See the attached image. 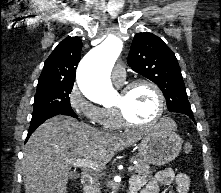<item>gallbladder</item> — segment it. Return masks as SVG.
<instances>
[{"instance_id":"1","label":"gallbladder","mask_w":221,"mask_h":193,"mask_svg":"<svg viewBox=\"0 0 221 193\" xmlns=\"http://www.w3.org/2000/svg\"><path fill=\"white\" fill-rule=\"evenodd\" d=\"M77 174H71L70 178H75Z\"/></svg>"}]
</instances>
